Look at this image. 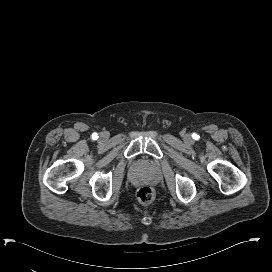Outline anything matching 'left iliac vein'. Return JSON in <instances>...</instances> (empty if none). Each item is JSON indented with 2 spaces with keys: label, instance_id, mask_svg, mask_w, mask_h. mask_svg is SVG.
Segmentation results:
<instances>
[{
  "label": "left iliac vein",
  "instance_id": "4c4485c4",
  "mask_svg": "<svg viewBox=\"0 0 272 272\" xmlns=\"http://www.w3.org/2000/svg\"><path fill=\"white\" fill-rule=\"evenodd\" d=\"M189 139H190V138H189V136H186V137H185V140H187V141H188Z\"/></svg>",
  "mask_w": 272,
  "mask_h": 272
}]
</instances>
